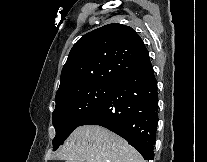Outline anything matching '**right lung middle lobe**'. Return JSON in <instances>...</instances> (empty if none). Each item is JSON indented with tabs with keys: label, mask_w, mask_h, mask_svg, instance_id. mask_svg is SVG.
I'll return each instance as SVG.
<instances>
[{
	"label": "right lung middle lobe",
	"mask_w": 207,
	"mask_h": 162,
	"mask_svg": "<svg viewBox=\"0 0 207 162\" xmlns=\"http://www.w3.org/2000/svg\"><path fill=\"white\" fill-rule=\"evenodd\" d=\"M114 87L115 84H97L56 97V107L52 117L56 130L53 139L54 150L104 101Z\"/></svg>",
	"instance_id": "1"
}]
</instances>
